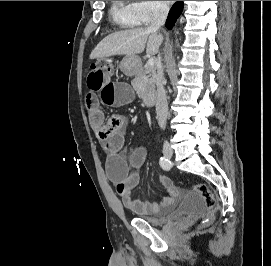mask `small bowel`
Returning <instances> with one entry per match:
<instances>
[{
  "label": "small bowel",
  "instance_id": "c3829d8e",
  "mask_svg": "<svg viewBox=\"0 0 271 266\" xmlns=\"http://www.w3.org/2000/svg\"><path fill=\"white\" fill-rule=\"evenodd\" d=\"M112 75L113 72L92 67L87 78L88 93L85 97L91 129L96 137L106 144L109 151L106 162L108 179L115 185L123 205L133 212L153 214L168 209L177 202L181 192L165 175L159 176V181L166 190V196L159 203L137 200L132 196L133 189L140 183L141 177L139 172H131V169L141 166L144 152L142 149L135 150L128 159L122 155L126 119L117 114L105 122L100 101L96 96L99 92L102 101L109 106H121L132 101L131 87L125 82H113Z\"/></svg>",
  "mask_w": 271,
  "mask_h": 266
}]
</instances>
